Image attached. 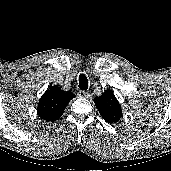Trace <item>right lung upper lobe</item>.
I'll use <instances>...</instances> for the list:
<instances>
[{"label":"right lung upper lobe","mask_w":171,"mask_h":171,"mask_svg":"<svg viewBox=\"0 0 171 171\" xmlns=\"http://www.w3.org/2000/svg\"><path fill=\"white\" fill-rule=\"evenodd\" d=\"M74 97L75 95L70 91L64 92L58 86H51L41 97L37 114L46 121H56Z\"/></svg>","instance_id":"right-lung-upper-lobe-1"}]
</instances>
